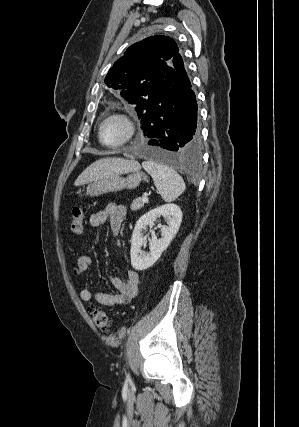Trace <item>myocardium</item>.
I'll list each match as a JSON object with an SVG mask.
<instances>
[{
  "instance_id": "1",
  "label": "myocardium",
  "mask_w": 299,
  "mask_h": 427,
  "mask_svg": "<svg viewBox=\"0 0 299 427\" xmlns=\"http://www.w3.org/2000/svg\"><path fill=\"white\" fill-rule=\"evenodd\" d=\"M112 118L121 119L125 123L127 129H126L125 136L123 137V139L121 141H119L115 144H108L102 140L101 131H102V127L105 124V122L112 119ZM136 130H137L136 123H135L134 119L128 113L121 112V111H115V112H112V113L106 115L100 121V123L98 125L97 136H98L99 142L103 146L108 147V148H118V147H121V146L127 144L128 142H130L133 139V137L135 136Z\"/></svg>"
}]
</instances>
